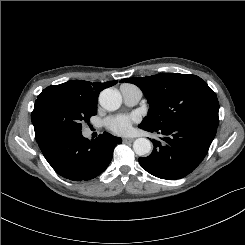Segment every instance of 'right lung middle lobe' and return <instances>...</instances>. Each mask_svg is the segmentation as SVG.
<instances>
[{"label": "right lung middle lobe", "instance_id": "obj_1", "mask_svg": "<svg viewBox=\"0 0 245 245\" xmlns=\"http://www.w3.org/2000/svg\"><path fill=\"white\" fill-rule=\"evenodd\" d=\"M97 114V103L86 101L58 86L45 88L31 113L37 143L57 135L81 133L82 123Z\"/></svg>", "mask_w": 245, "mask_h": 245}]
</instances>
